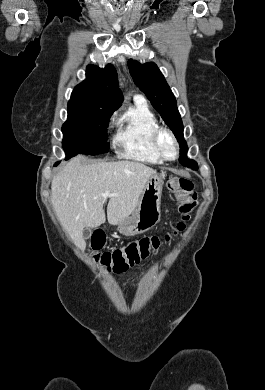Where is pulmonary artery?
<instances>
[{"label":"pulmonary artery","instance_id":"1","mask_svg":"<svg viewBox=\"0 0 265 390\" xmlns=\"http://www.w3.org/2000/svg\"><path fill=\"white\" fill-rule=\"evenodd\" d=\"M135 101H137V102H144V98L143 97H141V96H135Z\"/></svg>","mask_w":265,"mask_h":390}]
</instances>
